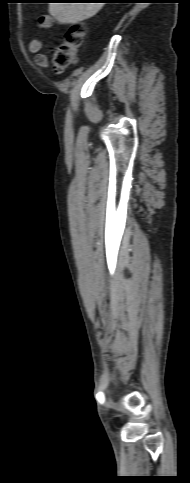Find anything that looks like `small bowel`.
Segmentation results:
<instances>
[{
	"instance_id": "obj_1",
	"label": "small bowel",
	"mask_w": 190,
	"mask_h": 483,
	"mask_svg": "<svg viewBox=\"0 0 190 483\" xmlns=\"http://www.w3.org/2000/svg\"><path fill=\"white\" fill-rule=\"evenodd\" d=\"M38 25L42 28H51L54 25V19L49 15H41L38 18ZM42 40L40 36H34L28 46L29 53L35 55V61L38 66L46 68L48 65V55L45 52H41Z\"/></svg>"
}]
</instances>
